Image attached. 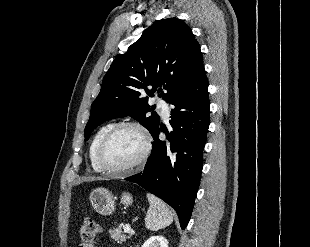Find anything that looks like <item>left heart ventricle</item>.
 I'll list each match as a JSON object with an SVG mask.
<instances>
[{"instance_id":"b2bd125f","label":"left heart ventricle","mask_w":310,"mask_h":247,"mask_svg":"<svg viewBox=\"0 0 310 247\" xmlns=\"http://www.w3.org/2000/svg\"><path fill=\"white\" fill-rule=\"evenodd\" d=\"M143 149L141 134L133 128L117 132L103 150L102 159L110 168H121L134 162Z\"/></svg>"}]
</instances>
